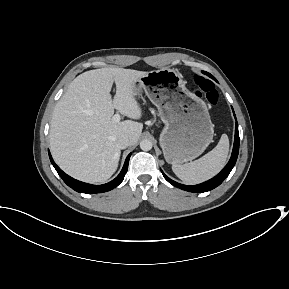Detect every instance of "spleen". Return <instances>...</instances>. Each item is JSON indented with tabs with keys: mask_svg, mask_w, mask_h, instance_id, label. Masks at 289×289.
I'll list each match as a JSON object with an SVG mask.
<instances>
[{
	"mask_svg": "<svg viewBox=\"0 0 289 289\" xmlns=\"http://www.w3.org/2000/svg\"><path fill=\"white\" fill-rule=\"evenodd\" d=\"M229 152V139L223 134L217 146L193 162L172 165L175 175L187 184H198L215 176L225 165Z\"/></svg>",
	"mask_w": 289,
	"mask_h": 289,
	"instance_id": "obj_1",
	"label": "spleen"
}]
</instances>
